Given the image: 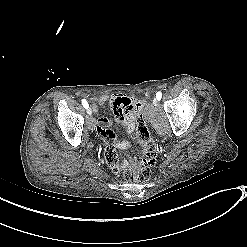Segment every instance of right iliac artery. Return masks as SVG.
Returning <instances> with one entry per match:
<instances>
[{
  "label": "right iliac artery",
  "mask_w": 247,
  "mask_h": 247,
  "mask_svg": "<svg viewBox=\"0 0 247 247\" xmlns=\"http://www.w3.org/2000/svg\"><path fill=\"white\" fill-rule=\"evenodd\" d=\"M82 105H83L85 108H88V102H87L85 99H82Z\"/></svg>",
  "instance_id": "1"
}]
</instances>
